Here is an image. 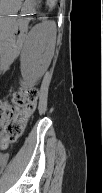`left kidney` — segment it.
<instances>
[{"instance_id": "obj_1", "label": "left kidney", "mask_w": 103, "mask_h": 193, "mask_svg": "<svg viewBox=\"0 0 103 193\" xmlns=\"http://www.w3.org/2000/svg\"><path fill=\"white\" fill-rule=\"evenodd\" d=\"M47 30V28L41 29L36 40L32 41L22 55V74L32 80L42 74L50 58V51L46 46V38L49 33ZM36 60L40 66L35 64Z\"/></svg>"}]
</instances>
